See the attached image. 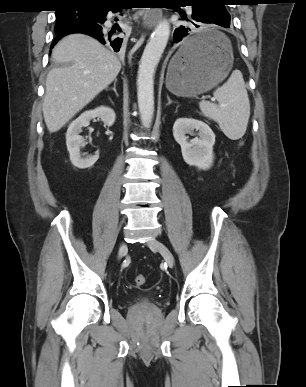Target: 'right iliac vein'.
<instances>
[{"instance_id":"1","label":"right iliac vein","mask_w":306,"mask_h":387,"mask_svg":"<svg viewBox=\"0 0 306 387\" xmlns=\"http://www.w3.org/2000/svg\"><path fill=\"white\" fill-rule=\"evenodd\" d=\"M126 245H125V243H122L121 245H120V247H119V252H118V257L119 258H121L123 255H124V253L126 252Z\"/></svg>"}]
</instances>
